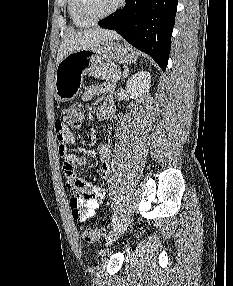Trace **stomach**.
<instances>
[{"label": "stomach", "mask_w": 233, "mask_h": 286, "mask_svg": "<svg viewBox=\"0 0 233 286\" xmlns=\"http://www.w3.org/2000/svg\"><path fill=\"white\" fill-rule=\"evenodd\" d=\"M136 58L132 48L111 40L91 49L74 51L56 66L55 98L60 102L73 99L82 87L84 75L99 65L112 61L133 63Z\"/></svg>", "instance_id": "1"}]
</instances>
